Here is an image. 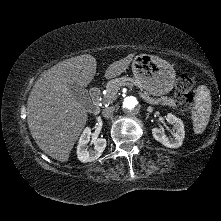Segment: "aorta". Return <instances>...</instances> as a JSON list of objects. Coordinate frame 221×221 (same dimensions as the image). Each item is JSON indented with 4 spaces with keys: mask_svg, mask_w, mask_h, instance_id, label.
<instances>
[{
    "mask_svg": "<svg viewBox=\"0 0 221 221\" xmlns=\"http://www.w3.org/2000/svg\"><path fill=\"white\" fill-rule=\"evenodd\" d=\"M123 111L128 115H134L140 110V102L135 96H127L123 100L122 104Z\"/></svg>",
    "mask_w": 221,
    "mask_h": 221,
    "instance_id": "obj_1",
    "label": "aorta"
}]
</instances>
